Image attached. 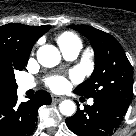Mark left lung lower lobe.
Listing matches in <instances>:
<instances>
[{
    "label": "left lung lower lobe",
    "instance_id": "1",
    "mask_svg": "<svg viewBox=\"0 0 136 136\" xmlns=\"http://www.w3.org/2000/svg\"><path fill=\"white\" fill-rule=\"evenodd\" d=\"M129 103L120 100L94 98L92 106L77 108V112L65 120L68 128L79 136H108L118 127Z\"/></svg>",
    "mask_w": 136,
    "mask_h": 136
}]
</instances>
